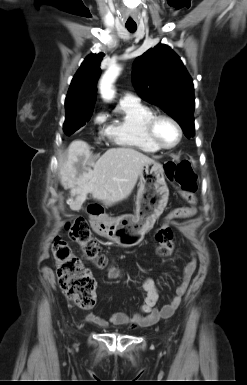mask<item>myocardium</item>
<instances>
[{"label": "myocardium", "mask_w": 247, "mask_h": 385, "mask_svg": "<svg viewBox=\"0 0 247 385\" xmlns=\"http://www.w3.org/2000/svg\"><path fill=\"white\" fill-rule=\"evenodd\" d=\"M160 120H167L169 122H171L175 128L177 129V132H178V139L176 141L175 144L171 145V146H166V145H163L157 138V135H156V125L157 123L160 121ZM145 129H146V133L149 137V139L152 141V143L159 149L161 150H172L174 148H176L182 138H183V130H182V127L181 125L179 124V122L173 118L172 116L170 115H167V114H157V113H154L146 122V125H145Z\"/></svg>", "instance_id": "obj_1"}]
</instances>
